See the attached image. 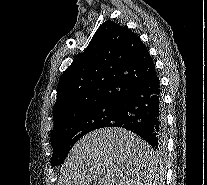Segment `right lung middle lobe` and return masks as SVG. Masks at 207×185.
I'll return each mask as SVG.
<instances>
[{"mask_svg": "<svg viewBox=\"0 0 207 185\" xmlns=\"http://www.w3.org/2000/svg\"><path fill=\"white\" fill-rule=\"evenodd\" d=\"M119 108V103L105 104L67 117L55 124L51 134L52 167L62 164L72 146L85 134L113 123Z\"/></svg>", "mask_w": 207, "mask_h": 185, "instance_id": "right-lung-middle-lobe-1", "label": "right lung middle lobe"}]
</instances>
